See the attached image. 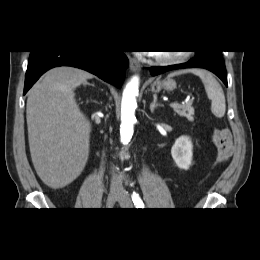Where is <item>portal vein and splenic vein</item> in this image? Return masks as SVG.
I'll return each mask as SVG.
<instances>
[{
    "mask_svg": "<svg viewBox=\"0 0 260 260\" xmlns=\"http://www.w3.org/2000/svg\"><path fill=\"white\" fill-rule=\"evenodd\" d=\"M177 106H179V104L178 103H176V102H172V103H170V107H177Z\"/></svg>",
    "mask_w": 260,
    "mask_h": 260,
    "instance_id": "18ae733b",
    "label": "portal vein and splenic vein"
}]
</instances>
